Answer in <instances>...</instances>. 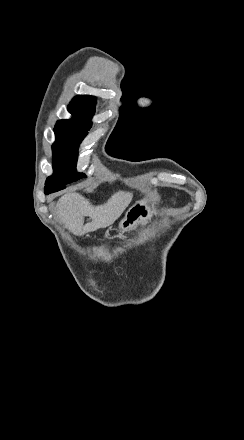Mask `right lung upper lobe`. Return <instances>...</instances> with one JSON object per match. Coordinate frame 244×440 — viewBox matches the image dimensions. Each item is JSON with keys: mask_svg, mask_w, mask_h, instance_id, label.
<instances>
[{"mask_svg": "<svg viewBox=\"0 0 244 440\" xmlns=\"http://www.w3.org/2000/svg\"><path fill=\"white\" fill-rule=\"evenodd\" d=\"M95 104V97L88 95H79L71 101L69 109L95 110Z\"/></svg>", "mask_w": 244, "mask_h": 440, "instance_id": "obj_1", "label": "right lung upper lobe"}]
</instances>
